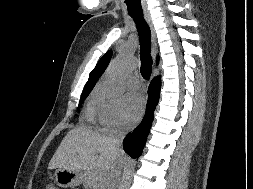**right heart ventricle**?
<instances>
[{"label":"right heart ventricle","mask_w":253,"mask_h":189,"mask_svg":"<svg viewBox=\"0 0 253 189\" xmlns=\"http://www.w3.org/2000/svg\"><path fill=\"white\" fill-rule=\"evenodd\" d=\"M97 98L98 91H95L91 96L89 104L87 105V108L85 110V118L91 123L95 122L96 118L98 117Z\"/></svg>","instance_id":"1"}]
</instances>
